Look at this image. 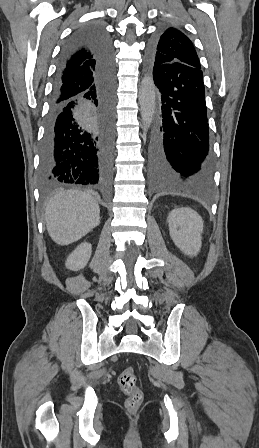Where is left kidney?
Listing matches in <instances>:
<instances>
[{
  "label": "left kidney",
  "instance_id": "5707ae66",
  "mask_svg": "<svg viewBox=\"0 0 259 448\" xmlns=\"http://www.w3.org/2000/svg\"><path fill=\"white\" fill-rule=\"evenodd\" d=\"M170 236L186 256H197L201 248L203 220L192 208H175L168 216Z\"/></svg>",
  "mask_w": 259,
  "mask_h": 448
}]
</instances>
